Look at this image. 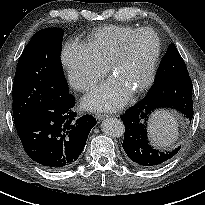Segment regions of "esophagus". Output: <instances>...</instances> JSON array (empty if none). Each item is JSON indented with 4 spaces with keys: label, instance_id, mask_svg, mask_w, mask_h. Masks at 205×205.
<instances>
[{
    "label": "esophagus",
    "instance_id": "1",
    "mask_svg": "<svg viewBox=\"0 0 205 205\" xmlns=\"http://www.w3.org/2000/svg\"><path fill=\"white\" fill-rule=\"evenodd\" d=\"M108 117H110V115H106V114H96L95 115V118L97 120H103V119L108 118Z\"/></svg>",
    "mask_w": 205,
    "mask_h": 205
}]
</instances>
